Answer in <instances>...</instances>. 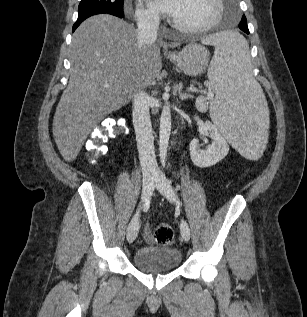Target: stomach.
<instances>
[{"mask_svg":"<svg viewBox=\"0 0 307 317\" xmlns=\"http://www.w3.org/2000/svg\"><path fill=\"white\" fill-rule=\"evenodd\" d=\"M210 53L200 44L190 43L180 52L169 55V59L189 76H200L208 67Z\"/></svg>","mask_w":307,"mask_h":317,"instance_id":"stomach-1","label":"stomach"}]
</instances>
